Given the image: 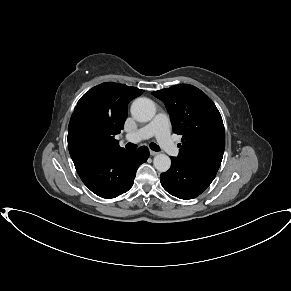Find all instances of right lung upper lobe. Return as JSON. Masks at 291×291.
I'll list each match as a JSON object with an SVG mask.
<instances>
[{
    "label": "right lung upper lobe",
    "mask_w": 291,
    "mask_h": 291,
    "mask_svg": "<svg viewBox=\"0 0 291 291\" xmlns=\"http://www.w3.org/2000/svg\"><path fill=\"white\" fill-rule=\"evenodd\" d=\"M144 91L106 82L90 89L78 101L68 127V145L82 144L103 154L124 150L114 136L123 129L127 105Z\"/></svg>",
    "instance_id": "obj_1"
}]
</instances>
